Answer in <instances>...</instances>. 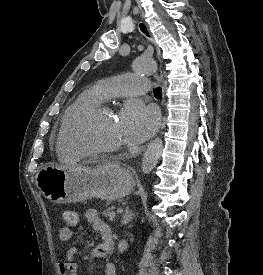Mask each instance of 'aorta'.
<instances>
[{"instance_id": "762f6f07", "label": "aorta", "mask_w": 263, "mask_h": 275, "mask_svg": "<svg viewBox=\"0 0 263 275\" xmlns=\"http://www.w3.org/2000/svg\"><path fill=\"white\" fill-rule=\"evenodd\" d=\"M133 68L141 74H151L157 69V65L153 60L139 58L133 63ZM163 151V141L155 138L148 145L141 164L144 174H149L157 165Z\"/></svg>"}]
</instances>
